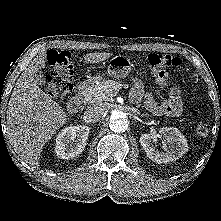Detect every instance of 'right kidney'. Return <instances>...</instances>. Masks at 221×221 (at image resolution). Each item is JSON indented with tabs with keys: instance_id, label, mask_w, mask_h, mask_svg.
Returning <instances> with one entry per match:
<instances>
[{
	"instance_id": "ca27d5eb",
	"label": "right kidney",
	"mask_w": 221,
	"mask_h": 221,
	"mask_svg": "<svg viewBox=\"0 0 221 221\" xmlns=\"http://www.w3.org/2000/svg\"><path fill=\"white\" fill-rule=\"evenodd\" d=\"M90 128L85 125L69 126L62 129L55 139V153L62 159H69L84 150Z\"/></svg>"
}]
</instances>
